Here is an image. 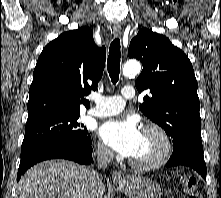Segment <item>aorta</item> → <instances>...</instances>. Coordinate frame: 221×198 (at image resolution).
Listing matches in <instances>:
<instances>
[{
    "label": "aorta",
    "instance_id": "1",
    "mask_svg": "<svg viewBox=\"0 0 221 198\" xmlns=\"http://www.w3.org/2000/svg\"><path fill=\"white\" fill-rule=\"evenodd\" d=\"M141 71V64L136 60H130L123 67V75L130 77L135 76Z\"/></svg>",
    "mask_w": 221,
    "mask_h": 198
}]
</instances>
